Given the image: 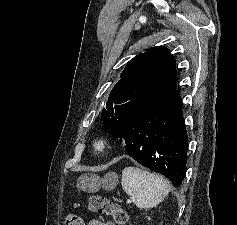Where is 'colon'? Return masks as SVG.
<instances>
[{
	"mask_svg": "<svg viewBox=\"0 0 237 225\" xmlns=\"http://www.w3.org/2000/svg\"><path fill=\"white\" fill-rule=\"evenodd\" d=\"M90 211L100 215L111 216L116 224L126 225L128 223L127 212L116 206L109 198L101 195H93L88 199ZM65 225H83V221L76 213H69L65 217Z\"/></svg>",
	"mask_w": 237,
	"mask_h": 225,
	"instance_id": "obj_1",
	"label": "colon"
}]
</instances>
